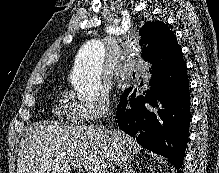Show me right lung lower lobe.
Returning <instances> with one entry per match:
<instances>
[{"label": "right lung lower lobe", "mask_w": 219, "mask_h": 173, "mask_svg": "<svg viewBox=\"0 0 219 173\" xmlns=\"http://www.w3.org/2000/svg\"><path fill=\"white\" fill-rule=\"evenodd\" d=\"M162 57L154 54L146 60L151 64L148 88H128L117 106L116 117L120 129L144 148L166 157L178 170L189 132V80L182 56Z\"/></svg>", "instance_id": "98d812e1"}]
</instances>
